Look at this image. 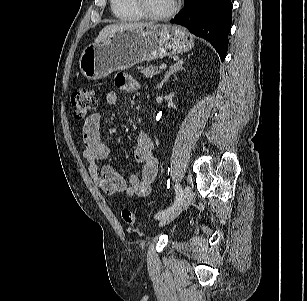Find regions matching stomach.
I'll return each mask as SVG.
<instances>
[{
  "instance_id": "1",
  "label": "stomach",
  "mask_w": 307,
  "mask_h": 301,
  "mask_svg": "<svg viewBox=\"0 0 307 301\" xmlns=\"http://www.w3.org/2000/svg\"><path fill=\"white\" fill-rule=\"evenodd\" d=\"M193 46V37L180 26L162 24L120 30L87 46L79 68L88 80H99L143 61L187 52Z\"/></svg>"
}]
</instances>
